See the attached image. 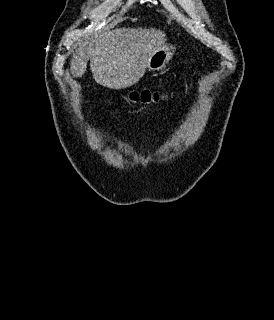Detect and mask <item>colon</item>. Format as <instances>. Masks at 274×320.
<instances>
[{
	"mask_svg": "<svg viewBox=\"0 0 274 320\" xmlns=\"http://www.w3.org/2000/svg\"><path fill=\"white\" fill-rule=\"evenodd\" d=\"M169 94L161 92L157 89L141 88L132 90L127 94V100L135 105L157 104L169 98Z\"/></svg>",
	"mask_w": 274,
	"mask_h": 320,
	"instance_id": "1",
	"label": "colon"
}]
</instances>
